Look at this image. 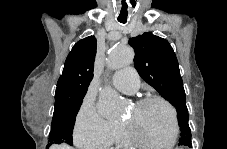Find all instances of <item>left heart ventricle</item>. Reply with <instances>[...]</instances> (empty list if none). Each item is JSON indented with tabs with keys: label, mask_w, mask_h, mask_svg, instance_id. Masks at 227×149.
I'll use <instances>...</instances> for the list:
<instances>
[{
	"label": "left heart ventricle",
	"mask_w": 227,
	"mask_h": 149,
	"mask_svg": "<svg viewBox=\"0 0 227 149\" xmlns=\"http://www.w3.org/2000/svg\"><path fill=\"white\" fill-rule=\"evenodd\" d=\"M124 121H130L139 134L154 142H168L173 133L171 113L158 102L146 104L139 109L133 107Z\"/></svg>",
	"instance_id": "1"
}]
</instances>
